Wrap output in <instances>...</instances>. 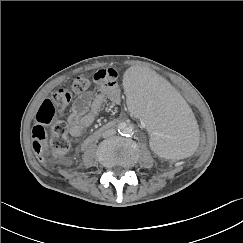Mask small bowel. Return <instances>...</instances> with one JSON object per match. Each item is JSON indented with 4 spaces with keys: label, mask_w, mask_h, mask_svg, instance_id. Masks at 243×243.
<instances>
[{
    "label": "small bowel",
    "mask_w": 243,
    "mask_h": 243,
    "mask_svg": "<svg viewBox=\"0 0 243 243\" xmlns=\"http://www.w3.org/2000/svg\"><path fill=\"white\" fill-rule=\"evenodd\" d=\"M107 71L112 75L109 81L98 79V74ZM98 84L96 93L80 94L72 108V113L68 116L69 133L72 137L78 138L82 136L85 129L88 128L97 118L102 110L106 100L114 104H119L121 101V90L118 86V73L112 68L101 69L93 76Z\"/></svg>",
    "instance_id": "c3829d8e"
}]
</instances>
